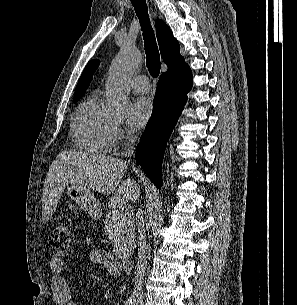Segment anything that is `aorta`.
<instances>
[{
  "instance_id": "aorta-1",
  "label": "aorta",
  "mask_w": 297,
  "mask_h": 305,
  "mask_svg": "<svg viewBox=\"0 0 297 305\" xmlns=\"http://www.w3.org/2000/svg\"><path fill=\"white\" fill-rule=\"evenodd\" d=\"M141 60L140 52L130 46L121 48L113 60L106 83V106L111 112L120 115L126 113L130 92L129 79Z\"/></svg>"
}]
</instances>
